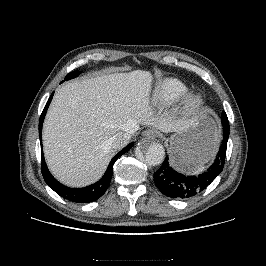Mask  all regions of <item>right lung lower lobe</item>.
<instances>
[{"mask_svg": "<svg viewBox=\"0 0 266 266\" xmlns=\"http://www.w3.org/2000/svg\"><path fill=\"white\" fill-rule=\"evenodd\" d=\"M53 97V94L50 96L48 102L46 103L43 112L40 116L39 120V136H40V142L42 144V124L45 117V114L47 112L48 106L51 102V99ZM133 146V143H130L127 145L124 149H122L116 156H114L104 174V176L96 183L87 186L85 188H79V189H72L68 188L62 184H60L49 172L47 165L44 160L43 151L41 149V159H42V175L45 180V182L48 184L49 187H51L57 194L62 196L63 198L76 202V203H88L97 200L100 198L105 191L108 189L110 185V181L112 178V172H113V165L115 161L125 152H127L129 149H131Z\"/></svg>", "mask_w": 266, "mask_h": 266, "instance_id": "obj_1", "label": "right lung lower lobe"}]
</instances>
